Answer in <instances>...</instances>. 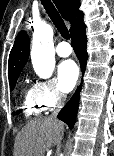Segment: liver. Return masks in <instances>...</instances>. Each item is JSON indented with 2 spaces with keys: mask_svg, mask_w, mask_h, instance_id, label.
I'll return each mask as SVG.
<instances>
[{
  "mask_svg": "<svg viewBox=\"0 0 114 156\" xmlns=\"http://www.w3.org/2000/svg\"><path fill=\"white\" fill-rule=\"evenodd\" d=\"M63 130L64 123L50 117L30 120L16 136L13 156H44L60 143Z\"/></svg>",
  "mask_w": 114,
  "mask_h": 156,
  "instance_id": "obj_1",
  "label": "liver"
}]
</instances>
